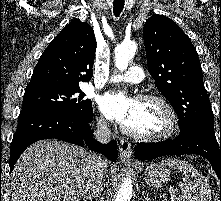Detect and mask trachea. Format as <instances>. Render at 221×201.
Masks as SVG:
<instances>
[{"label": "trachea", "instance_id": "obj_1", "mask_svg": "<svg viewBox=\"0 0 221 201\" xmlns=\"http://www.w3.org/2000/svg\"><path fill=\"white\" fill-rule=\"evenodd\" d=\"M125 0H114V15L118 16L124 8Z\"/></svg>", "mask_w": 221, "mask_h": 201}]
</instances>
